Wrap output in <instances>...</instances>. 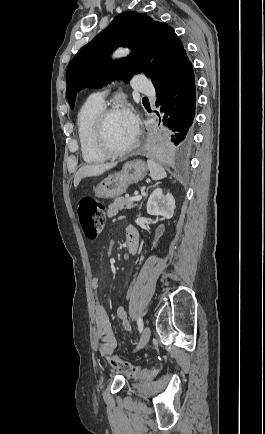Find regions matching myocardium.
<instances>
[{
  "label": "myocardium",
  "instance_id": "1",
  "mask_svg": "<svg viewBox=\"0 0 265 434\" xmlns=\"http://www.w3.org/2000/svg\"><path fill=\"white\" fill-rule=\"evenodd\" d=\"M120 113L117 108H104L97 119V142L101 151L107 158H121L134 152L139 146V138L136 137L135 142L128 148L123 150L114 149L108 140V122L110 118Z\"/></svg>",
  "mask_w": 265,
  "mask_h": 434
}]
</instances>
